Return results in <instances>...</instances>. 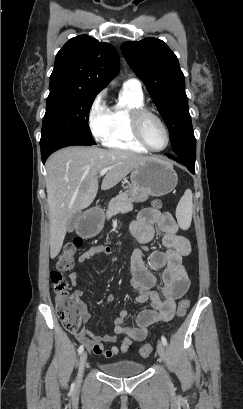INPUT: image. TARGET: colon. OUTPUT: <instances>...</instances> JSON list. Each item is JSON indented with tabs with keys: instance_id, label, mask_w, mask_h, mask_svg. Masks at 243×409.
Returning a JSON list of instances; mask_svg holds the SVG:
<instances>
[{
	"instance_id": "5ec220e1",
	"label": "colon",
	"mask_w": 243,
	"mask_h": 409,
	"mask_svg": "<svg viewBox=\"0 0 243 409\" xmlns=\"http://www.w3.org/2000/svg\"><path fill=\"white\" fill-rule=\"evenodd\" d=\"M160 200H154L152 207L155 210L162 208ZM83 245V239L77 237L74 241L66 245L58 256L57 268L51 272V283L55 293L56 312L64 329L69 333H76L81 325L83 315L80 311L79 304L68 294V283L62 275V272H68L74 267V256L78 248ZM190 302L182 299L178 305L176 317L182 319L189 308ZM152 351L150 345H145L140 349L142 357L147 358Z\"/></svg>"
}]
</instances>
